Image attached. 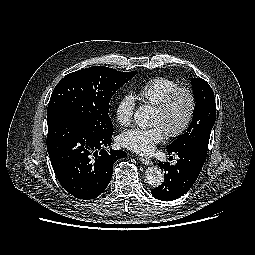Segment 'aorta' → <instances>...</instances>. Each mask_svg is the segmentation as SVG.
Segmentation results:
<instances>
[{
	"label": "aorta",
	"mask_w": 255,
	"mask_h": 255,
	"mask_svg": "<svg viewBox=\"0 0 255 255\" xmlns=\"http://www.w3.org/2000/svg\"><path fill=\"white\" fill-rule=\"evenodd\" d=\"M152 108L150 106H140L134 113L135 123L141 128L146 129L151 124ZM147 182L153 186L158 187L164 181V175L158 167H148L145 172Z\"/></svg>",
	"instance_id": "762f6f07"
}]
</instances>
